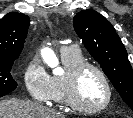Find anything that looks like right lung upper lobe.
I'll list each match as a JSON object with an SVG mask.
<instances>
[{
    "mask_svg": "<svg viewBox=\"0 0 133 118\" xmlns=\"http://www.w3.org/2000/svg\"><path fill=\"white\" fill-rule=\"evenodd\" d=\"M29 17L10 12L0 20V59H17L24 47Z\"/></svg>",
    "mask_w": 133,
    "mask_h": 118,
    "instance_id": "1",
    "label": "right lung upper lobe"
}]
</instances>
